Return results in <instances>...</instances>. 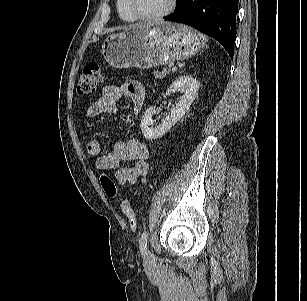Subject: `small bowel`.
Returning <instances> with one entry per match:
<instances>
[{"label": "small bowel", "instance_id": "small-bowel-1", "mask_svg": "<svg viewBox=\"0 0 307 301\" xmlns=\"http://www.w3.org/2000/svg\"><path fill=\"white\" fill-rule=\"evenodd\" d=\"M128 98L133 107V112L138 113L144 103V86L135 80L127 81L121 86L107 85L102 89L98 100L91 103L86 111L89 119H94L102 114H115L118 112L117 103L123 98ZM87 151L96 157L97 169L103 171L115 170V179L121 185H134L138 179L145 178L148 174L149 149L135 137L115 144L111 152H102L98 140H91L87 144ZM128 163L122 166L121 163Z\"/></svg>", "mask_w": 307, "mask_h": 301}]
</instances>
